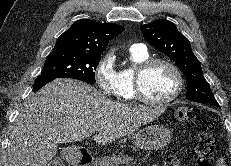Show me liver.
I'll use <instances>...</instances> for the list:
<instances>
[{"label":"liver","mask_w":231,"mask_h":166,"mask_svg":"<svg viewBox=\"0 0 231 166\" xmlns=\"http://www.w3.org/2000/svg\"><path fill=\"white\" fill-rule=\"evenodd\" d=\"M165 112L161 106L111 101L73 79H56L21 108L10 132L7 166H47L58 144L86 139L106 145L132 134Z\"/></svg>","instance_id":"obj_1"}]
</instances>
